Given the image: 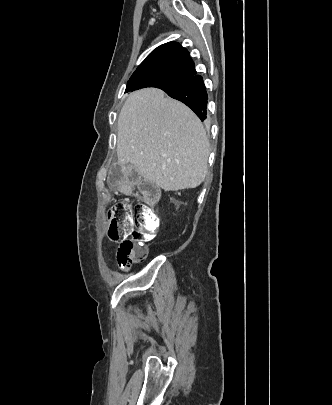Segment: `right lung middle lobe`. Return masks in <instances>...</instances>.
I'll use <instances>...</instances> for the list:
<instances>
[{
  "label": "right lung middle lobe",
  "mask_w": 332,
  "mask_h": 405,
  "mask_svg": "<svg viewBox=\"0 0 332 405\" xmlns=\"http://www.w3.org/2000/svg\"><path fill=\"white\" fill-rule=\"evenodd\" d=\"M183 80L184 79L180 76L159 71L135 72L128 81L125 92H130L145 87L165 88L175 85Z\"/></svg>",
  "instance_id": "right-lung-middle-lobe-1"
}]
</instances>
